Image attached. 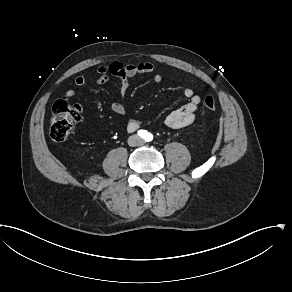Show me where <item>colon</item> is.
Masks as SVG:
<instances>
[{
	"label": "colon",
	"mask_w": 292,
	"mask_h": 292,
	"mask_svg": "<svg viewBox=\"0 0 292 292\" xmlns=\"http://www.w3.org/2000/svg\"><path fill=\"white\" fill-rule=\"evenodd\" d=\"M204 108L214 111L217 108L216 99L213 96L205 97ZM83 108L81 105L71 102L67 98H59L52 107L50 136L56 142H63L71 133L73 127L82 118Z\"/></svg>",
	"instance_id": "5ec220e1"
}]
</instances>
